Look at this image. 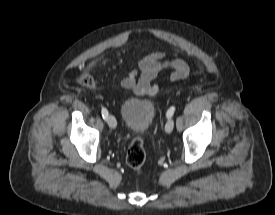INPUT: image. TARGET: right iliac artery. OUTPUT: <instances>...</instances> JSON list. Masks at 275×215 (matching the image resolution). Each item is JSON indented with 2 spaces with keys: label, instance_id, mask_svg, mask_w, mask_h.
Masks as SVG:
<instances>
[{
  "label": "right iliac artery",
  "instance_id": "1",
  "mask_svg": "<svg viewBox=\"0 0 275 215\" xmlns=\"http://www.w3.org/2000/svg\"><path fill=\"white\" fill-rule=\"evenodd\" d=\"M101 113H102L103 119L106 120L108 117V110L105 107H102Z\"/></svg>",
  "mask_w": 275,
  "mask_h": 215
}]
</instances>
